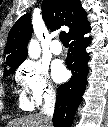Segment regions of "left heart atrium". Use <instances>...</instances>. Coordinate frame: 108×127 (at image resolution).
Returning a JSON list of instances; mask_svg holds the SVG:
<instances>
[{
    "instance_id": "39dd6f15",
    "label": "left heart atrium",
    "mask_w": 108,
    "mask_h": 127,
    "mask_svg": "<svg viewBox=\"0 0 108 127\" xmlns=\"http://www.w3.org/2000/svg\"><path fill=\"white\" fill-rule=\"evenodd\" d=\"M53 77L56 81L62 82L67 79L68 72L61 62H56L53 66Z\"/></svg>"
}]
</instances>
